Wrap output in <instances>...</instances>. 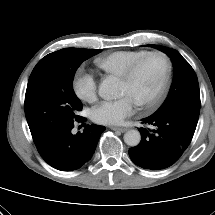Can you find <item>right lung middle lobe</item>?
<instances>
[{
    "label": "right lung middle lobe",
    "instance_id": "1",
    "mask_svg": "<svg viewBox=\"0 0 215 215\" xmlns=\"http://www.w3.org/2000/svg\"><path fill=\"white\" fill-rule=\"evenodd\" d=\"M101 49L65 48L46 55L33 69L25 95V115L34 142L73 123L82 103L73 78L83 61Z\"/></svg>",
    "mask_w": 215,
    "mask_h": 215
}]
</instances>
